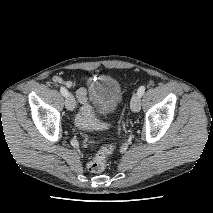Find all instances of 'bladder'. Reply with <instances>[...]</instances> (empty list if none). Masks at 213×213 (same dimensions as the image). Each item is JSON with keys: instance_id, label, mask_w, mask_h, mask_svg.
Listing matches in <instances>:
<instances>
[{"instance_id": "obj_1", "label": "bladder", "mask_w": 213, "mask_h": 213, "mask_svg": "<svg viewBox=\"0 0 213 213\" xmlns=\"http://www.w3.org/2000/svg\"><path fill=\"white\" fill-rule=\"evenodd\" d=\"M91 102L103 113L115 111L123 98L121 84L110 75L100 74L87 82Z\"/></svg>"}]
</instances>
